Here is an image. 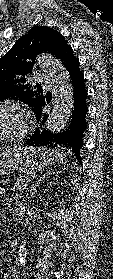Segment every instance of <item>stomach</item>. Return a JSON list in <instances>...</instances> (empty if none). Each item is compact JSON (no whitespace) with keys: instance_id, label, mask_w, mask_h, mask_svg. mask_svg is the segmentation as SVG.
<instances>
[{"instance_id":"1","label":"stomach","mask_w":113,"mask_h":279,"mask_svg":"<svg viewBox=\"0 0 113 279\" xmlns=\"http://www.w3.org/2000/svg\"><path fill=\"white\" fill-rule=\"evenodd\" d=\"M53 160L50 150L37 147L14 146L0 152V175L8 171H34Z\"/></svg>"}]
</instances>
